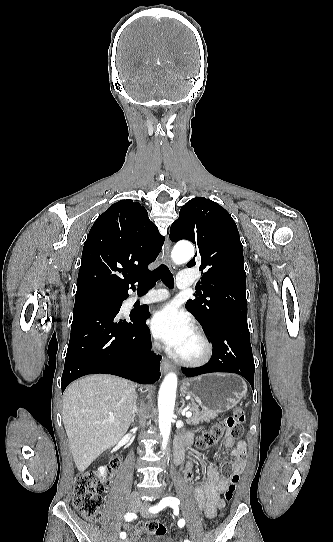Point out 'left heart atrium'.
Segmentation results:
<instances>
[{
	"label": "left heart atrium",
	"instance_id": "1",
	"mask_svg": "<svg viewBox=\"0 0 333 542\" xmlns=\"http://www.w3.org/2000/svg\"><path fill=\"white\" fill-rule=\"evenodd\" d=\"M151 328L172 354H177L195 332L191 317L174 304L163 307L154 315Z\"/></svg>",
	"mask_w": 333,
	"mask_h": 542
}]
</instances>
